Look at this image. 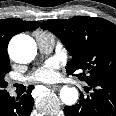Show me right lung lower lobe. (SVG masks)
Returning <instances> with one entry per match:
<instances>
[{"label": "right lung lower lobe", "mask_w": 116, "mask_h": 116, "mask_svg": "<svg viewBox=\"0 0 116 116\" xmlns=\"http://www.w3.org/2000/svg\"><path fill=\"white\" fill-rule=\"evenodd\" d=\"M32 89L30 86L24 95L16 99L7 92L0 98V116H29L33 107Z\"/></svg>", "instance_id": "obj_1"}]
</instances>
